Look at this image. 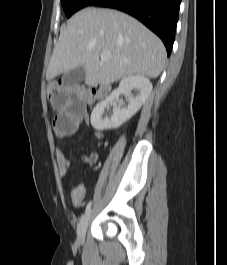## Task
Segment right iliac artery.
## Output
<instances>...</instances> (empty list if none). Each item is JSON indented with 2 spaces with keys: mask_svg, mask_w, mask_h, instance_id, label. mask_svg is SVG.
<instances>
[{
  "mask_svg": "<svg viewBox=\"0 0 227 265\" xmlns=\"http://www.w3.org/2000/svg\"><path fill=\"white\" fill-rule=\"evenodd\" d=\"M91 205H92V201H90V202L87 204L86 209H85L86 212L90 209Z\"/></svg>",
  "mask_w": 227,
  "mask_h": 265,
  "instance_id": "82829eb1",
  "label": "right iliac artery"
}]
</instances>
